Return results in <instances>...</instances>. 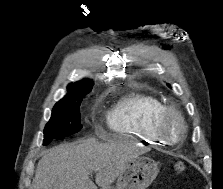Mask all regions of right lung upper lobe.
Masks as SVG:
<instances>
[{
	"label": "right lung upper lobe",
	"mask_w": 223,
	"mask_h": 189,
	"mask_svg": "<svg viewBox=\"0 0 223 189\" xmlns=\"http://www.w3.org/2000/svg\"><path fill=\"white\" fill-rule=\"evenodd\" d=\"M92 86H93V82L90 79H84L74 84L71 83L67 87V90L69 92L67 96H72V95L79 94L82 92L90 91Z\"/></svg>",
	"instance_id": "cb5924a9"
}]
</instances>
